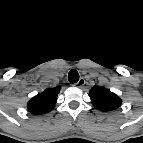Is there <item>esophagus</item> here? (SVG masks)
<instances>
[{"label":"esophagus","instance_id":"esophagus-1","mask_svg":"<svg viewBox=\"0 0 143 143\" xmlns=\"http://www.w3.org/2000/svg\"><path fill=\"white\" fill-rule=\"evenodd\" d=\"M84 84H85L84 78H80L79 81L75 83L74 85H76L77 87H83Z\"/></svg>","mask_w":143,"mask_h":143}]
</instances>
